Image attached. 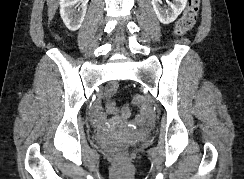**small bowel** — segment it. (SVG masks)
I'll list each match as a JSON object with an SVG mask.
<instances>
[{
	"instance_id": "obj_1",
	"label": "small bowel",
	"mask_w": 244,
	"mask_h": 179,
	"mask_svg": "<svg viewBox=\"0 0 244 179\" xmlns=\"http://www.w3.org/2000/svg\"><path fill=\"white\" fill-rule=\"evenodd\" d=\"M152 113H153L152 110H147V109L142 110L140 114L139 126H148L150 121H152V116H149L152 115Z\"/></svg>"
}]
</instances>
